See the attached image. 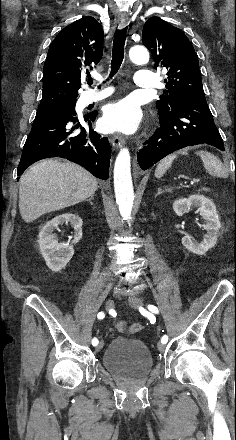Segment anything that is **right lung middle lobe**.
I'll return each instance as SVG.
<instances>
[{
	"instance_id": "right-lung-middle-lobe-1",
	"label": "right lung middle lobe",
	"mask_w": 236,
	"mask_h": 440,
	"mask_svg": "<svg viewBox=\"0 0 236 440\" xmlns=\"http://www.w3.org/2000/svg\"><path fill=\"white\" fill-rule=\"evenodd\" d=\"M76 102H70V103H65V104H61L62 106H72L75 107Z\"/></svg>"
}]
</instances>
